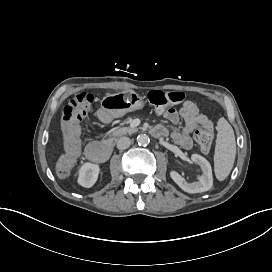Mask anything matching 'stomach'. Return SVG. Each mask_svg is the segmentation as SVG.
<instances>
[{
  "mask_svg": "<svg viewBox=\"0 0 272 272\" xmlns=\"http://www.w3.org/2000/svg\"><path fill=\"white\" fill-rule=\"evenodd\" d=\"M142 98L132 90L108 94L101 100L102 109L113 117H121L142 106Z\"/></svg>",
  "mask_w": 272,
  "mask_h": 272,
  "instance_id": "0dacf381",
  "label": "stomach"
}]
</instances>
